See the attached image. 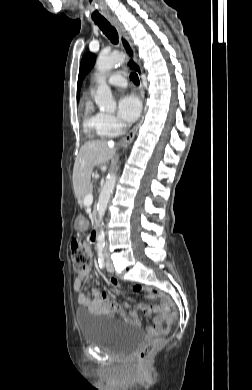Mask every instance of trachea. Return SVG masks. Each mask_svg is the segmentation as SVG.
I'll list each match as a JSON object with an SVG mask.
<instances>
[{
	"instance_id": "1",
	"label": "trachea",
	"mask_w": 252,
	"mask_h": 390,
	"mask_svg": "<svg viewBox=\"0 0 252 390\" xmlns=\"http://www.w3.org/2000/svg\"><path fill=\"white\" fill-rule=\"evenodd\" d=\"M95 24L101 29V31L111 40L112 43H118V33L114 27L110 25V23L105 18L94 19ZM131 80L134 84H139V78L136 73H131Z\"/></svg>"
}]
</instances>
